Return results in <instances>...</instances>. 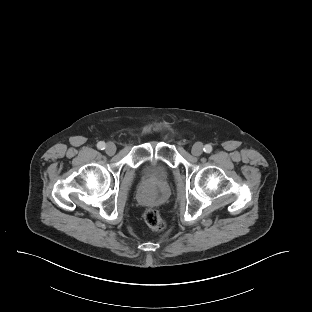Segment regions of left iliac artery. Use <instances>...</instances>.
<instances>
[{
    "instance_id": "44dca946",
    "label": "left iliac artery",
    "mask_w": 312,
    "mask_h": 312,
    "mask_svg": "<svg viewBox=\"0 0 312 312\" xmlns=\"http://www.w3.org/2000/svg\"><path fill=\"white\" fill-rule=\"evenodd\" d=\"M204 152L210 153L212 151V146L210 144H207L204 146Z\"/></svg>"
}]
</instances>
